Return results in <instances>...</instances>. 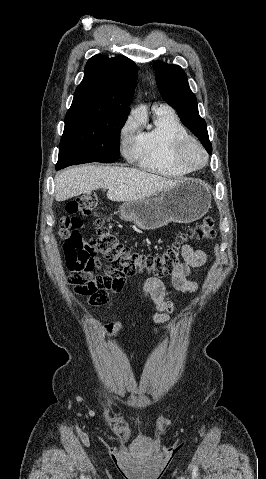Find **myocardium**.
Segmentation results:
<instances>
[{
	"label": "myocardium",
	"instance_id": "1",
	"mask_svg": "<svg viewBox=\"0 0 266 479\" xmlns=\"http://www.w3.org/2000/svg\"><path fill=\"white\" fill-rule=\"evenodd\" d=\"M197 149L201 154V161L192 165L187 158L190 149ZM172 157L174 161L188 171H197L202 169L208 162V153L203 145L192 137H185L177 140L172 149Z\"/></svg>",
	"mask_w": 266,
	"mask_h": 479
}]
</instances>
